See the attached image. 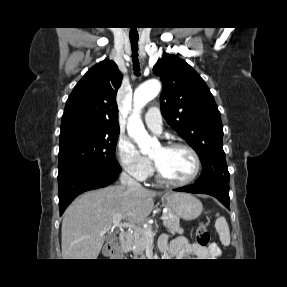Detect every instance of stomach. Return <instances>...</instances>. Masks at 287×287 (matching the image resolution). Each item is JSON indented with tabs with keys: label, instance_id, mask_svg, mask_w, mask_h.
I'll return each mask as SVG.
<instances>
[{
	"label": "stomach",
	"instance_id": "obj_1",
	"mask_svg": "<svg viewBox=\"0 0 287 287\" xmlns=\"http://www.w3.org/2000/svg\"><path fill=\"white\" fill-rule=\"evenodd\" d=\"M163 198L169 211L184 220L198 218L203 210L200 200L188 193L168 192Z\"/></svg>",
	"mask_w": 287,
	"mask_h": 287
}]
</instances>
